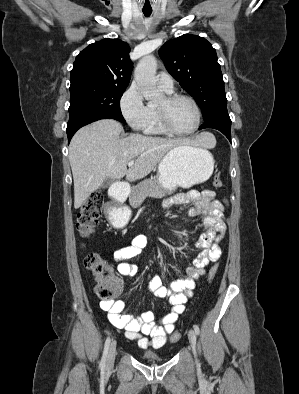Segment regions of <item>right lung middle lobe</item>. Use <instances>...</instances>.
<instances>
[{"instance_id": "obj_1", "label": "right lung middle lobe", "mask_w": 299, "mask_h": 394, "mask_svg": "<svg viewBox=\"0 0 299 394\" xmlns=\"http://www.w3.org/2000/svg\"><path fill=\"white\" fill-rule=\"evenodd\" d=\"M126 88L127 86L108 84H85L70 87L69 114L106 113L113 119L125 123L120 110V99Z\"/></svg>"}]
</instances>
